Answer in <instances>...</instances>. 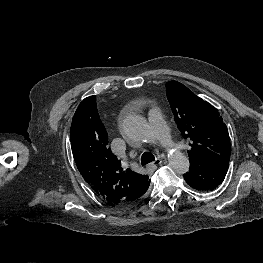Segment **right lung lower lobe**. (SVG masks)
<instances>
[{"label": "right lung lower lobe", "mask_w": 263, "mask_h": 263, "mask_svg": "<svg viewBox=\"0 0 263 263\" xmlns=\"http://www.w3.org/2000/svg\"><path fill=\"white\" fill-rule=\"evenodd\" d=\"M148 187H149V186H148ZM148 187L144 188V189L141 191V193L139 194V196H138L135 200L129 202V203L126 204V205H122L121 208H129V207L134 206L136 203H138V201L142 198V196L144 195V193L147 191Z\"/></svg>", "instance_id": "obj_1"}]
</instances>
